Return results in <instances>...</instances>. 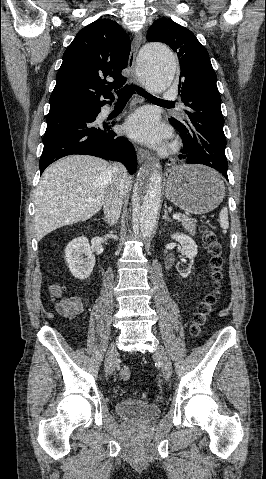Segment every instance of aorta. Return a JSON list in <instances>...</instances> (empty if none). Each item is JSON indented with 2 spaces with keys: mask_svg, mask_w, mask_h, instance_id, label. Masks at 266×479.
<instances>
[{
  "mask_svg": "<svg viewBox=\"0 0 266 479\" xmlns=\"http://www.w3.org/2000/svg\"><path fill=\"white\" fill-rule=\"evenodd\" d=\"M141 75L146 86L153 93H160L172 83L176 72V61L172 51L164 44L149 43L139 53ZM161 165L155 163L146 177H138L133 201V229L149 237L156 224L161 202Z\"/></svg>",
  "mask_w": 266,
  "mask_h": 479,
  "instance_id": "762f6f07",
  "label": "aorta"
}]
</instances>
